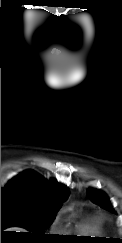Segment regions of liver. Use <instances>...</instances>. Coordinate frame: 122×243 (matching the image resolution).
<instances>
[{"instance_id":"6515ba94","label":"liver","mask_w":122,"mask_h":243,"mask_svg":"<svg viewBox=\"0 0 122 243\" xmlns=\"http://www.w3.org/2000/svg\"><path fill=\"white\" fill-rule=\"evenodd\" d=\"M7 231L24 232V229H21V228H10V229L7 230Z\"/></svg>"}]
</instances>
